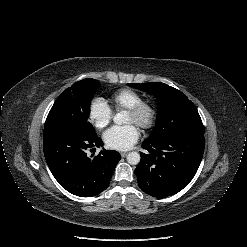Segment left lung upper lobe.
<instances>
[{
	"mask_svg": "<svg viewBox=\"0 0 247 247\" xmlns=\"http://www.w3.org/2000/svg\"><path fill=\"white\" fill-rule=\"evenodd\" d=\"M128 85L157 98L158 117L149 141L174 135L204 136V126L195 105L181 91L161 82Z\"/></svg>",
	"mask_w": 247,
	"mask_h": 247,
	"instance_id": "5c2ea615",
	"label": "left lung upper lobe"
}]
</instances>
